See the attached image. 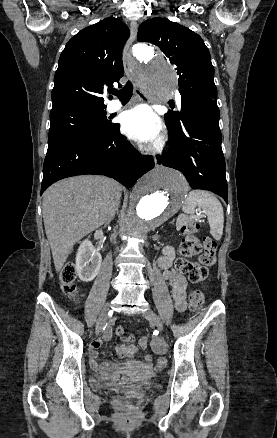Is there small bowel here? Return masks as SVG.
Masks as SVG:
<instances>
[{
  "label": "small bowel",
  "mask_w": 277,
  "mask_h": 438,
  "mask_svg": "<svg viewBox=\"0 0 277 438\" xmlns=\"http://www.w3.org/2000/svg\"><path fill=\"white\" fill-rule=\"evenodd\" d=\"M175 259V251L172 247H166L163 250L162 256L158 260L160 268L164 271L163 277L170 283L172 287V296L175 302L176 309L178 311H184L186 308V279L173 269V261ZM102 331L105 337L110 338L113 335L111 327L108 325L103 326ZM104 338V341H107ZM129 338H133V335H129ZM142 349L146 348V339H142L139 343ZM99 347L98 342H92L90 345V357H96V350ZM137 352L136 347L122 345L118 347L117 354L120 358L132 357ZM151 355H145L144 362L129 361L127 359H112L109 363L99 365L96 361L92 360V367L94 370L99 371L98 379L103 383L116 384L121 377L120 371L129 375L140 374L144 375L150 372Z\"/></svg>",
  "instance_id": "c3829d8e"
}]
</instances>
